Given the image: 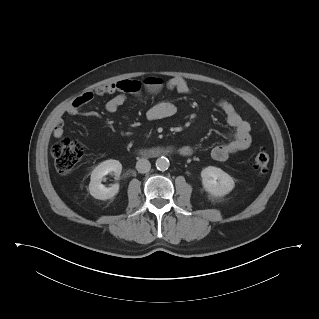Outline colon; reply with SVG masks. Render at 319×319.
I'll list each match as a JSON object with an SVG mask.
<instances>
[{
    "label": "colon",
    "instance_id": "colon-1",
    "mask_svg": "<svg viewBox=\"0 0 319 319\" xmlns=\"http://www.w3.org/2000/svg\"><path fill=\"white\" fill-rule=\"evenodd\" d=\"M164 81L158 77H148L143 81H130L126 86L129 94H136L142 88L149 92H156L162 88ZM84 153L82 143L70 139H62L52 147V157L55 167L61 175H69L74 170ZM269 155L265 150H258L252 159V168L258 175L266 173Z\"/></svg>",
    "mask_w": 319,
    "mask_h": 319
}]
</instances>
